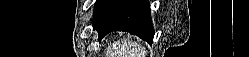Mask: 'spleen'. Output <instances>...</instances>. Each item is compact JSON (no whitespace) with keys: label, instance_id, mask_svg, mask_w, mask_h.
Wrapping results in <instances>:
<instances>
[{"label":"spleen","instance_id":"3e777b00","mask_svg":"<svg viewBox=\"0 0 249 57\" xmlns=\"http://www.w3.org/2000/svg\"><path fill=\"white\" fill-rule=\"evenodd\" d=\"M135 50V57H144L145 51L143 47L138 43H133L131 40L125 41L120 51L115 52L110 57H132L131 52Z\"/></svg>","mask_w":249,"mask_h":57}]
</instances>
